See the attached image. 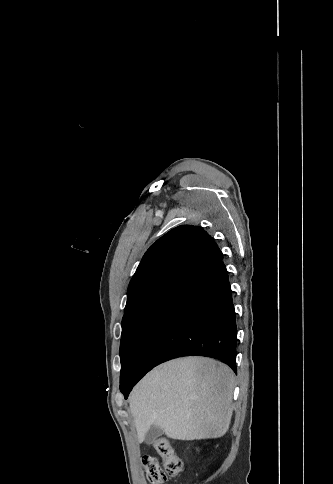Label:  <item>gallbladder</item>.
Instances as JSON below:
<instances>
[{"instance_id": "1", "label": "gallbladder", "mask_w": 333, "mask_h": 484, "mask_svg": "<svg viewBox=\"0 0 333 484\" xmlns=\"http://www.w3.org/2000/svg\"><path fill=\"white\" fill-rule=\"evenodd\" d=\"M162 434H163V429L156 426H151L145 435V442L147 444H151L154 442L156 438H158Z\"/></svg>"}]
</instances>
